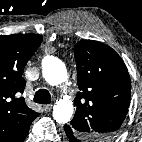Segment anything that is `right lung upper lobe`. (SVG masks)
<instances>
[{
  "label": "right lung upper lobe",
  "instance_id": "obj_1",
  "mask_svg": "<svg viewBox=\"0 0 142 142\" xmlns=\"http://www.w3.org/2000/svg\"><path fill=\"white\" fill-rule=\"evenodd\" d=\"M35 34L0 35V142H23L39 113L24 97L23 69L41 44Z\"/></svg>",
  "mask_w": 142,
  "mask_h": 142
}]
</instances>
